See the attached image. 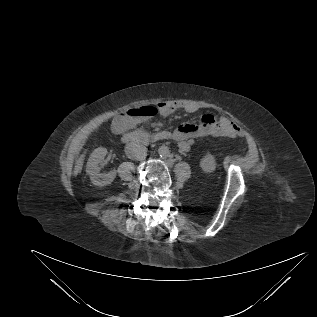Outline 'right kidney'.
Listing matches in <instances>:
<instances>
[{
  "instance_id": "obj_1",
  "label": "right kidney",
  "mask_w": 317,
  "mask_h": 317,
  "mask_svg": "<svg viewBox=\"0 0 317 317\" xmlns=\"http://www.w3.org/2000/svg\"><path fill=\"white\" fill-rule=\"evenodd\" d=\"M107 152L104 147L96 148L89 156L86 164V172L90 176L92 184L99 187L111 184L116 177V170H112L107 174L100 173L98 164L105 158Z\"/></svg>"
}]
</instances>
